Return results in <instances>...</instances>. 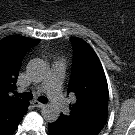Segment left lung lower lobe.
Returning <instances> with one entry per match:
<instances>
[{
	"instance_id": "0a47b994",
	"label": "left lung lower lobe",
	"mask_w": 135,
	"mask_h": 135,
	"mask_svg": "<svg viewBox=\"0 0 135 135\" xmlns=\"http://www.w3.org/2000/svg\"><path fill=\"white\" fill-rule=\"evenodd\" d=\"M49 135H82L59 121L48 124Z\"/></svg>"
}]
</instances>
